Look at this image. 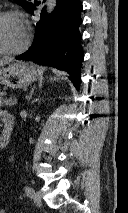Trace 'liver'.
I'll list each match as a JSON object with an SVG mask.
<instances>
[{"instance_id": "liver-1", "label": "liver", "mask_w": 128, "mask_h": 213, "mask_svg": "<svg viewBox=\"0 0 128 213\" xmlns=\"http://www.w3.org/2000/svg\"><path fill=\"white\" fill-rule=\"evenodd\" d=\"M10 61L9 60H0V66H4L6 64H9Z\"/></svg>"}]
</instances>
